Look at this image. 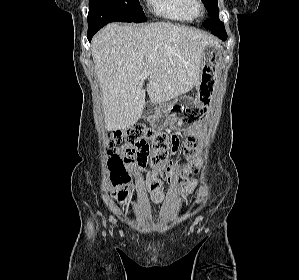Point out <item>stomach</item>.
I'll return each mask as SVG.
<instances>
[{
	"label": "stomach",
	"mask_w": 299,
	"mask_h": 280,
	"mask_svg": "<svg viewBox=\"0 0 299 280\" xmlns=\"http://www.w3.org/2000/svg\"><path fill=\"white\" fill-rule=\"evenodd\" d=\"M220 60V50L215 46H207L203 51L196 97L184 96L172 102L148 104L143 111V117L156 129L168 126L179 130L191 128L199 115L195 110L206 111L215 94V72Z\"/></svg>",
	"instance_id": "obj_1"
}]
</instances>
